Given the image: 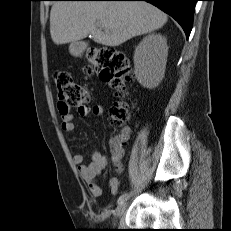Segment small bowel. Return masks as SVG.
Segmentation results:
<instances>
[{"label":"small bowel","mask_w":231,"mask_h":231,"mask_svg":"<svg viewBox=\"0 0 231 231\" xmlns=\"http://www.w3.org/2000/svg\"><path fill=\"white\" fill-rule=\"evenodd\" d=\"M79 114L81 116H102L104 109L101 105H84L79 108ZM74 116L71 113H63L61 117L60 127L62 131L71 133L74 131ZM131 133V129L126 127L122 130L120 136L114 137L110 141L111 145V160L117 172L122 170V158L124 155V149L122 146V139L127 138ZM91 162L84 164L83 155L75 154L73 156V162L78 167L80 176L85 180L93 197H100L102 195V187L97 183V177L104 171L107 165L106 157L99 151L94 150L91 153ZM120 181L117 177H112L108 181V189L112 194L118 192Z\"/></svg>","instance_id":"1"}]
</instances>
